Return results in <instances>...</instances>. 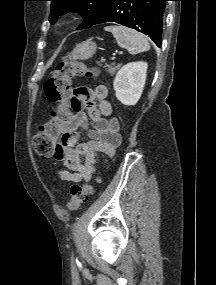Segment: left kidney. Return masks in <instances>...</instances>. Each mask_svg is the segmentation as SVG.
Wrapping results in <instances>:
<instances>
[{"mask_svg": "<svg viewBox=\"0 0 216 285\" xmlns=\"http://www.w3.org/2000/svg\"><path fill=\"white\" fill-rule=\"evenodd\" d=\"M146 62H132L124 65L114 79V90L117 99L124 105H135L143 92L146 73Z\"/></svg>", "mask_w": 216, "mask_h": 285, "instance_id": "left-kidney-1", "label": "left kidney"}]
</instances>
